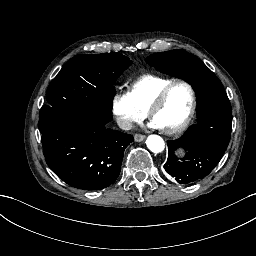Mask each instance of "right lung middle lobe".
Returning a JSON list of instances; mask_svg holds the SVG:
<instances>
[{
    "label": "right lung middle lobe",
    "mask_w": 256,
    "mask_h": 256,
    "mask_svg": "<svg viewBox=\"0 0 256 256\" xmlns=\"http://www.w3.org/2000/svg\"><path fill=\"white\" fill-rule=\"evenodd\" d=\"M131 63L120 53L79 55L70 59L47 89L39 130L42 132L57 122L77 126L82 119L109 122L115 95L113 84Z\"/></svg>",
    "instance_id": "dd1d6c3e"
}]
</instances>
